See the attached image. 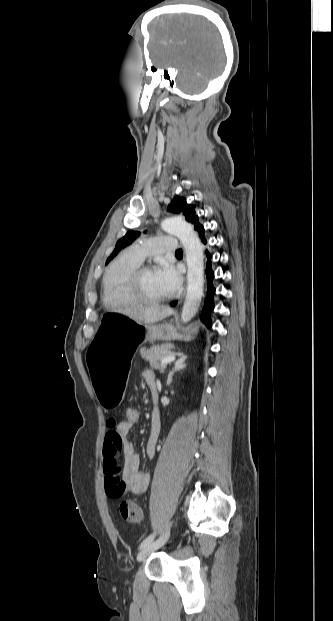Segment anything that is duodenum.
<instances>
[{
  "mask_svg": "<svg viewBox=\"0 0 333 621\" xmlns=\"http://www.w3.org/2000/svg\"><path fill=\"white\" fill-rule=\"evenodd\" d=\"M150 388H151V392H152L153 396H155V395H156V386H155L154 384H152V385L150 386ZM152 421H153V424H154L155 426H157V425L159 424L160 419H159V414H158V412H156V411H155V412L153 413V415H152Z\"/></svg>",
  "mask_w": 333,
  "mask_h": 621,
  "instance_id": "obj_1",
  "label": "duodenum"
}]
</instances>
